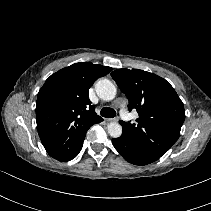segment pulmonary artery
Segmentation results:
<instances>
[{
    "mask_svg": "<svg viewBox=\"0 0 211 211\" xmlns=\"http://www.w3.org/2000/svg\"><path fill=\"white\" fill-rule=\"evenodd\" d=\"M120 114H121L123 119H125V120L130 119V114L128 113V111L125 108H122L120 110Z\"/></svg>",
    "mask_w": 211,
    "mask_h": 211,
    "instance_id": "obj_1",
    "label": "pulmonary artery"
}]
</instances>
